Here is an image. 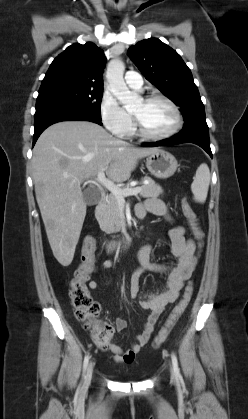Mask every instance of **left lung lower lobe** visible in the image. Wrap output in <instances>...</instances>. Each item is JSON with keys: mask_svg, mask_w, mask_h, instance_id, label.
Instances as JSON below:
<instances>
[{"mask_svg": "<svg viewBox=\"0 0 248 419\" xmlns=\"http://www.w3.org/2000/svg\"><path fill=\"white\" fill-rule=\"evenodd\" d=\"M180 143H194L202 147L212 158V152L210 149L209 142V129L206 121H198L194 124L185 127L181 132L172 138H168L156 143L144 144V146L155 147V146H167L175 145Z\"/></svg>", "mask_w": 248, "mask_h": 419, "instance_id": "1", "label": "left lung lower lobe"}]
</instances>
